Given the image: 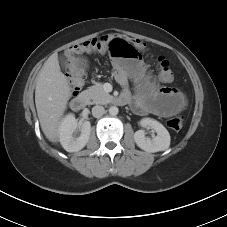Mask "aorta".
<instances>
[{"label":"aorta","mask_w":227,"mask_h":227,"mask_svg":"<svg viewBox=\"0 0 227 227\" xmlns=\"http://www.w3.org/2000/svg\"><path fill=\"white\" fill-rule=\"evenodd\" d=\"M119 112L118 108L116 106H111L109 108V114L112 115V116H115L117 115Z\"/></svg>","instance_id":"aorta-1"}]
</instances>
